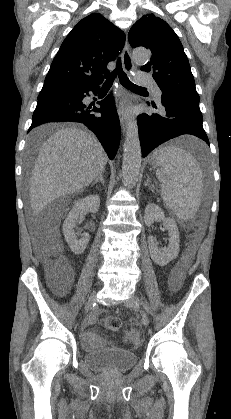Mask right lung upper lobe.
Wrapping results in <instances>:
<instances>
[{"label": "right lung upper lobe", "instance_id": "1", "mask_svg": "<svg viewBox=\"0 0 231 419\" xmlns=\"http://www.w3.org/2000/svg\"><path fill=\"white\" fill-rule=\"evenodd\" d=\"M125 43V34L99 13L82 19L67 35L51 64L43 87L78 89L99 85L110 61Z\"/></svg>", "mask_w": 231, "mask_h": 419}]
</instances>
